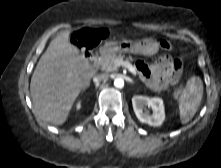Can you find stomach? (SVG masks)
Listing matches in <instances>:
<instances>
[{
	"label": "stomach",
	"mask_w": 221,
	"mask_h": 168,
	"mask_svg": "<svg viewBox=\"0 0 221 168\" xmlns=\"http://www.w3.org/2000/svg\"><path fill=\"white\" fill-rule=\"evenodd\" d=\"M159 50L158 42L153 38H145L141 41L106 42L102 47L104 54L116 52L136 53L143 55H154Z\"/></svg>",
	"instance_id": "0dacf381"
}]
</instances>
